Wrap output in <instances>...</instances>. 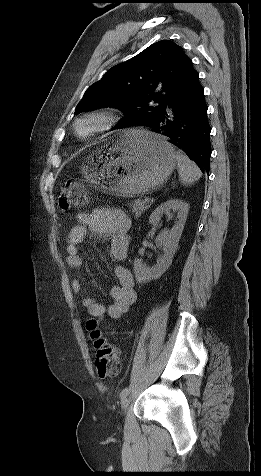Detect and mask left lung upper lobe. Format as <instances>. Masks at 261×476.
<instances>
[{
	"label": "left lung upper lobe",
	"mask_w": 261,
	"mask_h": 476,
	"mask_svg": "<svg viewBox=\"0 0 261 476\" xmlns=\"http://www.w3.org/2000/svg\"><path fill=\"white\" fill-rule=\"evenodd\" d=\"M194 70L180 46L169 40L156 42L112 67L91 85L75 114L103 106L116 107L126 117L113 129L143 125L166 107ZM156 102L159 106H154Z\"/></svg>",
	"instance_id": "1"
}]
</instances>
